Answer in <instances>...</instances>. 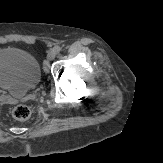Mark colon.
Wrapping results in <instances>:
<instances>
[{"label":"colon","instance_id":"colon-1","mask_svg":"<svg viewBox=\"0 0 163 163\" xmlns=\"http://www.w3.org/2000/svg\"><path fill=\"white\" fill-rule=\"evenodd\" d=\"M12 115L17 120H27L31 116V110L26 105H17L14 107Z\"/></svg>","mask_w":163,"mask_h":163}]
</instances>
